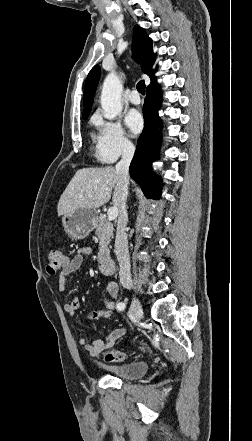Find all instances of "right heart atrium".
Masks as SVG:
<instances>
[{
  "mask_svg": "<svg viewBox=\"0 0 252 441\" xmlns=\"http://www.w3.org/2000/svg\"><path fill=\"white\" fill-rule=\"evenodd\" d=\"M97 127L95 137L96 155L103 163H114L120 157H129L135 147L118 120H107L101 116L94 119Z\"/></svg>",
  "mask_w": 252,
  "mask_h": 441,
  "instance_id": "1",
  "label": "right heart atrium"
}]
</instances>
